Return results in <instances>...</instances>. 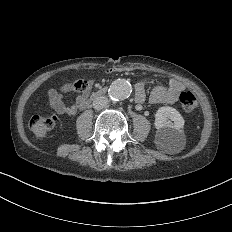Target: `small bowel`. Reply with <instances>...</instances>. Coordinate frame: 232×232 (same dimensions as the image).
<instances>
[{
    "label": "small bowel",
    "instance_id": "small-bowel-1",
    "mask_svg": "<svg viewBox=\"0 0 232 232\" xmlns=\"http://www.w3.org/2000/svg\"><path fill=\"white\" fill-rule=\"evenodd\" d=\"M132 69L129 67L114 68L107 71L108 75L111 74H121V73H130ZM83 87V93L81 98L77 101L74 106L67 107L64 105H58L60 111L75 112L81 108L85 102V99L89 95L92 86V79L87 78L75 83H68L64 85L65 92H71L75 88ZM153 87L152 93L147 95V87ZM185 90V85L179 80H172L169 86H165L163 82L156 78H147L137 83L135 94L132 98L133 103L142 104L148 100L151 104H157L159 102H174L178 99V96L181 92ZM49 95L52 98L57 97V92L55 88H50L48 91Z\"/></svg>",
    "mask_w": 232,
    "mask_h": 232
}]
</instances>
